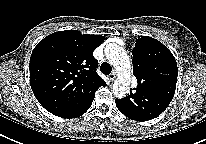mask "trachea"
<instances>
[{"instance_id": "3493384b", "label": "trachea", "mask_w": 206, "mask_h": 144, "mask_svg": "<svg viewBox=\"0 0 206 144\" xmlns=\"http://www.w3.org/2000/svg\"><path fill=\"white\" fill-rule=\"evenodd\" d=\"M100 71L105 74V75H108L111 73L112 71V67L110 66L109 63L107 62H103L100 66Z\"/></svg>"}]
</instances>
